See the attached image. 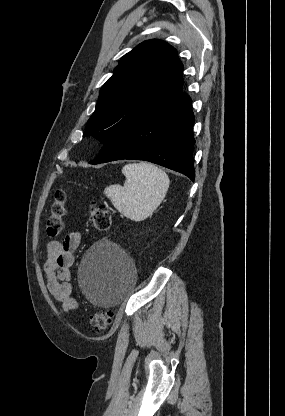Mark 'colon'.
Returning a JSON list of instances; mask_svg holds the SVG:
<instances>
[{
  "instance_id": "obj_1",
  "label": "colon",
  "mask_w": 285,
  "mask_h": 416,
  "mask_svg": "<svg viewBox=\"0 0 285 416\" xmlns=\"http://www.w3.org/2000/svg\"><path fill=\"white\" fill-rule=\"evenodd\" d=\"M66 201V191L63 189L57 190L50 207V215L46 224L47 235L51 238L57 237L63 232V217L66 213ZM89 220L96 230L105 232L109 230L111 226V213L105 205L93 202L89 208ZM112 318V311L108 309H99L91 315L90 321L94 331L100 333L110 326Z\"/></svg>"
}]
</instances>
